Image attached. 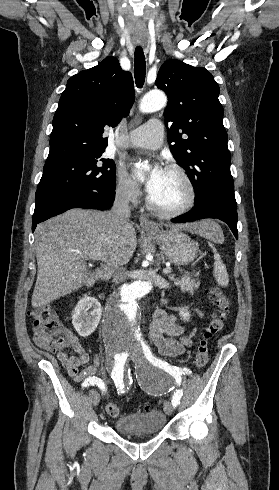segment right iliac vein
Returning <instances> with one entry per match:
<instances>
[{"label": "right iliac vein", "instance_id": "right-iliac-vein-1", "mask_svg": "<svg viewBox=\"0 0 279 490\" xmlns=\"http://www.w3.org/2000/svg\"><path fill=\"white\" fill-rule=\"evenodd\" d=\"M90 397H91V400H92L93 405H94V406L98 405L99 400H100V399H99V394H98V392H97V391H95V390L91 391V393H90Z\"/></svg>", "mask_w": 279, "mask_h": 490}]
</instances>
